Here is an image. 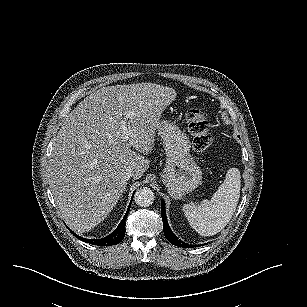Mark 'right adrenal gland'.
Listing matches in <instances>:
<instances>
[{"mask_svg":"<svg viewBox=\"0 0 307 307\" xmlns=\"http://www.w3.org/2000/svg\"><path fill=\"white\" fill-rule=\"evenodd\" d=\"M126 192V189L124 190V193ZM123 202V196L121 195V197H120V203H122Z\"/></svg>","mask_w":307,"mask_h":307,"instance_id":"2a0ac1e0","label":"right adrenal gland"}]
</instances>
